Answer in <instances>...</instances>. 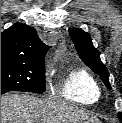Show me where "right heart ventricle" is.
Instances as JSON below:
<instances>
[{"mask_svg":"<svg viewBox=\"0 0 122 123\" xmlns=\"http://www.w3.org/2000/svg\"><path fill=\"white\" fill-rule=\"evenodd\" d=\"M57 93L67 101L92 105L99 100L101 90L97 80L88 70L74 68L60 79Z\"/></svg>","mask_w":122,"mask_h":123,"instance_id":"1","label":"right heart ventricle"}]
</instances>
